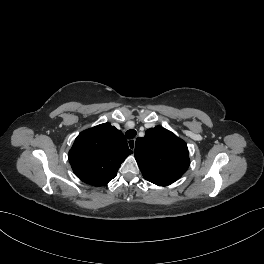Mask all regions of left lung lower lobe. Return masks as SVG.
I'll return each mask as SVG.
<instances>
[{
    "mask_svg": "<svg viewBox=\"0 0 264 264\" xmlns=\"http://www.w3.org/2000/svg\"><path fill=\"white\" fill-rule=\"evenodd\" d=\"M149 181L159 186H166V185L171 184V182L167 180H149Z\"/></svg>",
    "mask_w": 264,
    "mask_h": 264,
    "instance_id": "left-lung-lower-lobe-1",
    "label": "left lung lower lobe"
}]
</instances>
